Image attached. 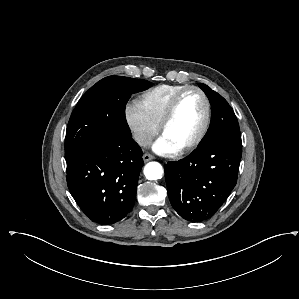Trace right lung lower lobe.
<instances>
[{"instance_id": "right-lung-lower-lobe-1", "label": "right lung lower lobe", "mask_w": 299, "mask_h": 299, "mask_svg": "<svg viewBox=\"0 0 299 299\" xmlns=\"http://www.w3.org/2000/svg\"><path fill=\"white\" fill-rule=\"evenodd\" d=\"M142 166L132 136L103 141L67 163L68 188L91 220L113 224L131 211Z\"/></svg>"}]
</instances>
